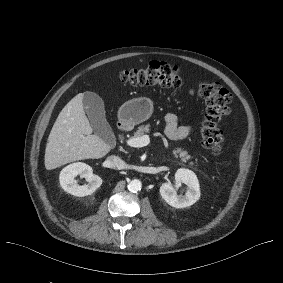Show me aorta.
Here are the masks:
<instances>
[{"label": "aorta", "instance_id": "1", "mask_svg": "<svg viewBox=\"0 0 283 283\" xmlns=\"http://www.w3.org/2000/svg\"><path fill=\"white\" fill-rule=\"evenodd\" d=\"M141 186H142L141 181L138 179L131 180L127 185L128 190L130 192H137L141 190Z\"/></svg>", "mask_w": 283, "mask_h": 283}]
</instances>
